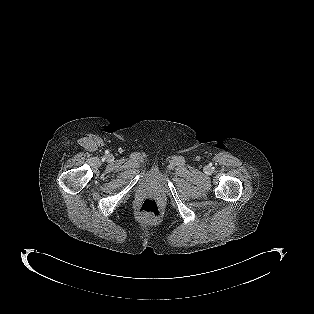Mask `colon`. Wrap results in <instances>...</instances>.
Segmentation results:
<instances>
[{
    "instance_id": "5ec220e1",
    "label": "colon",
    "mask_w": 314,
    "mask_h": 314,
    "mask_svg": "<svg viewBox=\"0 0 314 314\" xmlns=\"http://www.w3.org/2000/svg\"><path fill=\"white\" fill-rule=\"evenodd\" d=\"M138 213L142 217L159 218L162 215V210L155 200L146 199L139 205Z\"/></svg>"
}]
</instances>
